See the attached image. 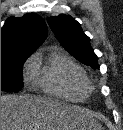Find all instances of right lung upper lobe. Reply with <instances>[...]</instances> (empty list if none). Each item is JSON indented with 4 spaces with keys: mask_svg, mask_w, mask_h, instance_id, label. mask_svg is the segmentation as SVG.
<instances>
[{
    "mask_svg": "<svg viewBox=\"0 0 123 130\" xmlns=\"http://www.w3.org/2000/svg\"><path fill=\"white\" fill-rule=\"evenodd\" d=\"M47 33L45 21L35 13L9 17L1 29V57L32 54Z\"/></svg>",
    "mask_w": 123,
    "mask_h": 130,
    "instance_id": "1",
    "label": "right lung upper lobe"
}]
</instances>
